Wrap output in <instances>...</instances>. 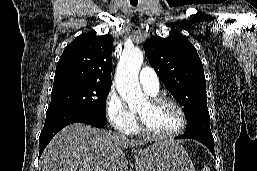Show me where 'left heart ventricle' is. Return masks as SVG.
Returning a JSON list of instances; mask_svg holds the SVG:
<instances>
[{
  "instance_id": "obj_1",
  "label": "left heart ventricle",
  "mask_w": 257,
  "mask_h": 171,
  "mask_svg": "<svg viewBox=\"0 0 257 171\" xmlns=\"http://www.w3.org/2000/svg\"><path fill=\"white\" fill-rule=\"evenodd\" d=\"M147 125L159 133H170L180 126V115L176 108L170 103L151 105L146 101L138 110Z\"/></svg>"
}]
</instances>
